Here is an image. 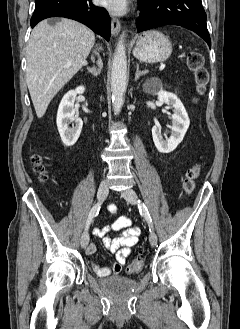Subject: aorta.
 <instances>
[{"label": "aorta", "mask_w": 240, "mask_h": 329, "mask_svg": "<svg viewBox=\"0 0 240 329\" xmlns=\"http://www.w3.org/2000/svg\"><path fill=\"white\" fill-rule=\"evenodd\" d=\"M127 84V57L124 37L117 43L112 69H111V92L114 113L118 115L124 103V93Z\"/></svg>", "instance_id": "obj_1"}]
</instances>
